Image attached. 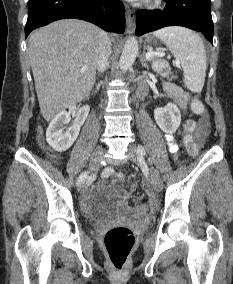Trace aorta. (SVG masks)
I'll list each match as a JSON object with an SVG mask.
<instances>
[{"label": "aorta", "mask_w": 233, "mask_h": 284, "mask_svg": "<svg viewBox=\"0 0 233 284\" xmlns=\"http://www.w3.org/2000/svg\"><path fill=\"white\" fill-rule=\"evenodd\" d=\"M139 48L138 41L135 37L129 38L122 50L119 60V67L122 71L131 69L136 57L138 56Z\"/></svg>", "instance_id": "aorta-1"}]
</instances>
